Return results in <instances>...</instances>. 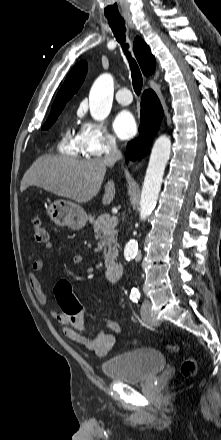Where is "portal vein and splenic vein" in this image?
<instances>
[{"label": "portal vein and splenic vein", "instance_id": "obj_1", "mask_svg": "<svg viewBox=\"0 0 221 440\" xmlns=\"http://www.w3.org/2000/svg\"><path fill=\"white\" fill-rule=\"evenodd\" d=\"M109 224L111 227H115L118 224V217L117 216H112Z\"/></svg>", "mask_w": 221, "mask_h": 440}]
</instances>
